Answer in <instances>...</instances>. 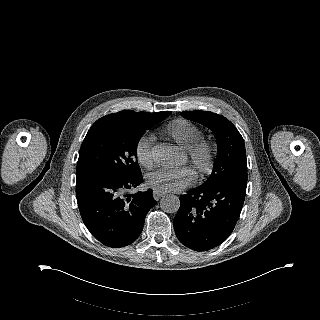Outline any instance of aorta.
Returning a JSON list of instances; mask_svg holds the SVG:
<instances>
[{
    "label": "aorta",
    "instance_id": "aorta-1",
    "mask_svg": "<svg viewBox=\"0 0 320 320\" xmlns=\"http://www.w3.org/2000/svg\"><path fill=\"white\" fill-rule=\"evenodd\" d=\"M152 158L156 163L162 164L173 160V150L165 145L155 146L152 150ZM161 208L167 213L176 212L179 208V200L176 196H166L160 202Z\"/></svg>",
    "mask_w": 320,
    "mask_h": 320
}]
</instances>
